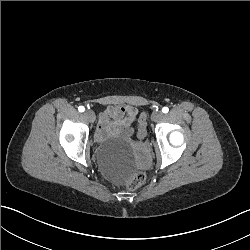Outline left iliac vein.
<instances>
[{
	"label": "left iliac vein",
	"instance_id": "4c4485c4",
	"mask_svg": "<svg viewBox=\"0 0 250 250\" xmlns=\"http://www.w3.org/2000/svg\"><path fill=\"white\" fill-rule=\"evenodd\" d=\"M164 118V114L162 112H155L152 115V120L157 122V121H162Z\"/></svg>",
	"mask_w": 250,
	"mask_h": 250
}]
</instances>
